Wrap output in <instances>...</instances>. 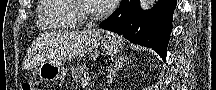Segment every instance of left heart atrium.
Segmentation results:
<instances>
[{
  "label": "left heart atrium",
  "instance_id": "39dd6f15",
  "mask_svg": "<svg viewBox=\"0 0 216 90\" xmlns=\"http://www.w3.org/2000/svg\"><path fill=\"white\" fill-rule=\"evenodd\" d=\"M98 3H103L104 7H117L122 0H97Z\"/></svg>",
  "mask_w": 216,
  "mask_h": 90
}]
</instances>
